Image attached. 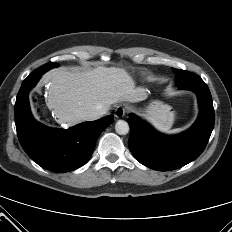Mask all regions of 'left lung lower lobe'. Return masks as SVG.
I'll return each mask as SVG.
<instances>
[{
  "label": "left lung lower lobe",
  "instance_id": "0a47b994",
  "mask_svg": "<svg viewBox=\"0 0 232 232\" xmlns=\"http://www.w3.org/2000/svg\"><path fill=\"white\" fill-rule=\"evenodd\" d=\"M180 89L196 92L200 114L194 125L176 136H166L130 114L129 149L143 165L158 171L178 169L195 160L205 149L214 127V108L211 93L205 82L197 75Z\"/></svg>",
  "mask_w": 232,
  "mask_h": 232
}]
</instances>
